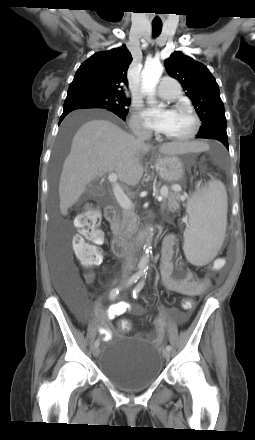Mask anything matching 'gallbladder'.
Here are the masks:
<instances>
[{"label": "gallbladder", "instance_id": "gallbladder-1", "mask_svg": "<svg viewBox=\"0 0 255 440\" xmlns=\"http://www.w3.org/2000/svg\"><path fill=\"white\" fill-rule=\"evenodd\" d=\"M99 190L98 186L96 184L91 185L88 189H87V194L91 195L93 193H96Z\"/></svg>", "mask_w": 255, "mask_h": 440}]
</instances>
